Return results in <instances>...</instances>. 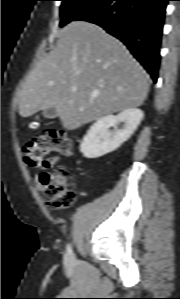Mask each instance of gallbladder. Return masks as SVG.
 <instances>
[{"mask_svg":"<svg viewBox=\"0 0 180 299\" xmlns=\"http://www.w3.org/2000/svg\"><path fill=\"white\" fill-rule=\"evenodd\" d=\"M43 116L48 119H53L58 116V113L54 107H51L43 111Z\"/></svg>","mask_w":180,"mask_h":299,"instance_id":"1","label":"gallbladder"}]
</instances>
